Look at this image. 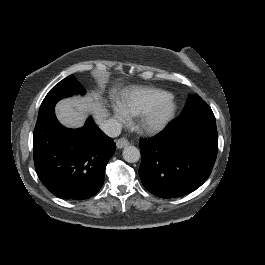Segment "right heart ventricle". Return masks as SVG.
Returning <instances> with one entry per match:
<instances>
[{"label":"right heart ventricle","instance_id":"1","mask_svg":"<svg viewBox=\"0 0 265 265\" xmlns=\"http://www.w3.org/2000/svg\"><path fill=\"white\" fill-rule=\"evenodd\" d=\"M158 89H137L123 98L115 99V106L120 117L129 119L140 112L150 103ZM121 127L122 123H118Z\"/></svg>","mask_w":265,"mask_h":265}]
</instances>
